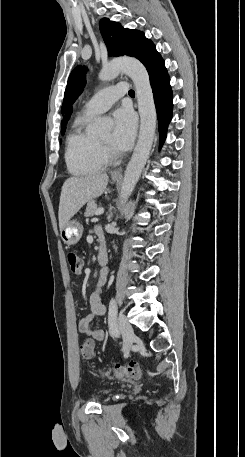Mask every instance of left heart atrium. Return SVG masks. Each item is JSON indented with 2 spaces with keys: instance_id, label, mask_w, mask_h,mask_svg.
Here are the masks:
<instances>
[{
  "instance_id": "1",
  "label": "left heart atrium",
  "mask_w": 245,
  "mask_h": 457,
  "mask_svg": "<svg viewBox=\"0 0 245 457\" xmlns=\"http://www.w3.org/2000/svg\"><path fill=\"white\" fill-rule=\"evenodd\" d=\"M113 121L112 146L119 151H126L134 139L136 117L130 109L122 107L113 113Z\"/></svg>"
}]
</instances>
